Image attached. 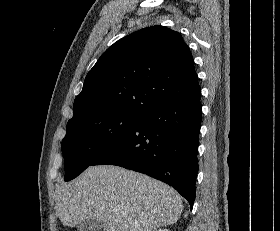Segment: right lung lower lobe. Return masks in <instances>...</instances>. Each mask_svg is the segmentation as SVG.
Returning a JSON list of instances; mask_svg holds the SVG:
<instances>
[{"label":"right lung lower lobe","instance_id":"right-lung-lower-lobe-1","mask_svg":"<svg viewBox=\"0 0 280 231\" xmlns=\"http://www.w3.org/2000/svg\"><path fill=\"white\" fill-rule=\"evenodd\" d=\"M201 93L158 105L91 165H117L174 187L190 204L195 200Z\"/></svg>","mask_w":280,"mask_h":231}]
</instances>
